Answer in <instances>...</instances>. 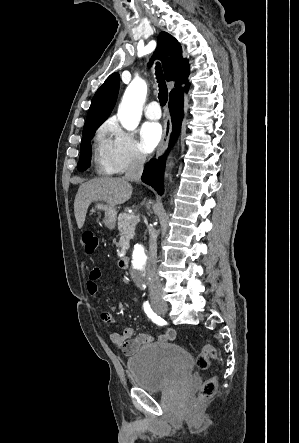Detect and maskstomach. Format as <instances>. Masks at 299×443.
Listing matches in <instances>:
<instances>
[{"label": "stomach", "instance_id": "obj_1", "mask_svg": "<svg viewBox=\"0 0 299 443\" xmlns=\"http://www.w3.org/2000/svg\"><path fill=\"white\" fill-rule=\"evenodd\" d=\"M93 210L104 213V224L107 228H115L117 211L114 205H109L99 201L96 202Z\"/></svg>", "mask_w": 299, "mask_h": 443}]
</instances>
